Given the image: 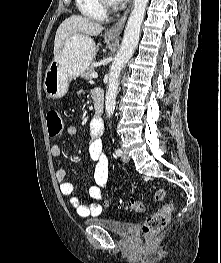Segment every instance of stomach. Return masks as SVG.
<instances>
[{"label": "stomach", "instance_id": "obj_1", "mask_svg": "<svg viewBox=\"0 0 221 263\" xmlns=\"http://www.w3.org/2000/svg\"><path fill=\"white\" fill-rule=\"evenodd\" d=\"M105 41L111 43L113 39ZM95 55L96 45L90 37L77 34L67 38L46 70L43 84L46 95L52 99L63 97L69 82L86 71Z\"/></svg>", "mask_w": 221, "mask_h": 263}]
</instances>
